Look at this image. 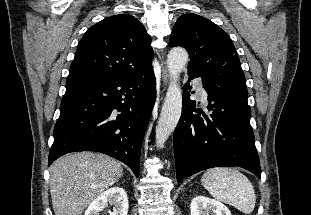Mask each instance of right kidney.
Wrapping results in <instances>:
<instances>
[{
    "label": "right kidney",
    "instance_id": "obj_1",
    "mask_svg": "<svg viewBox=\"0 0 311 215\" xmlns=\"http://www.w3.org/2000/svg\"><path fill=\"white\" fill-rule=\"evenodd\" d=\"M108 204L114 205L110 215H127L129 202L125 190L118 186L105 190L89 205L84 215H99Z\"/></svg>",
    "mask_w": 311,
    "mask_h": 215
}]
</instances>
